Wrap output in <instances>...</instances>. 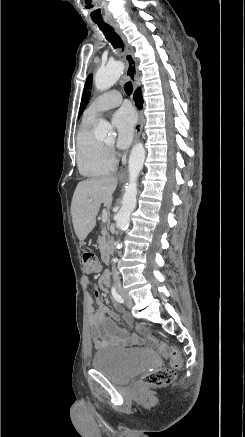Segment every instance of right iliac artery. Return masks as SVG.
I'll list each match as a JSON object with an SVG mask.
<instances>
[{"label": "right iliac artery", "instance_id": "obj_1", "mask_svg": "<svg viewBox=\"0 0 245 437\" xmlns=\"http://www.w3.org/2000/svg\"><path fill=\"white\" fill-rule=\"evenodd\" d=\"M112 295L113 298L119 302V303H123L124 299L122 298V296L120 294H118V292L116 291L115 287L112 288Z\"/></svg>", "mask_w": 245, "mask_h": 437}]
</instances>
